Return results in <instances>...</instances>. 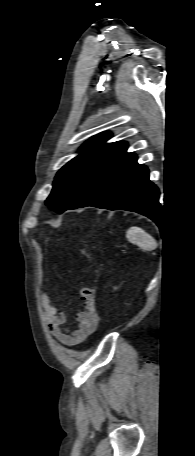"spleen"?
<instances>
[{"instance_id": "obj_1", "label": "spleen", "mask_w": 195, "mask_h": 456, "mask_svg": "<svg viewBox=\"0 0 195 456\" xmlns=\"http://www.w3.org/2000/svg\"><path fill=\"white\" fill-rule=\"evenodd\" d=\"M127 238L146 250H151L156 246L154 239L139 227H131L127 231Z\"/></svg>"}]
</instances>
